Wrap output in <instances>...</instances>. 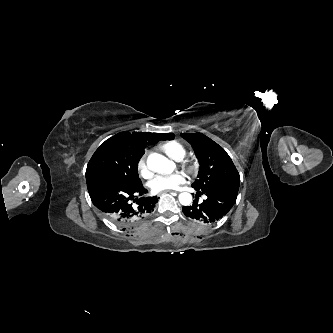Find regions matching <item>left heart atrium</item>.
Listing matches in <instances>:
<instances>
[{"label":"left heart atrium","mask_w":333,"mask_h":333,"mask_svg":"<svg viewBox=\"0 0 333 333\" xmlns=\"http://www.w3.org/2000/svg\"><path fill=\"white\" fill-rule=\"evenodd\" d=\"M184 182L185 176L182 173H172L156 176L151 180L150 187L154 192H164L176 189Z\"/></svg>","instance_id":"39dd6f15"}]
</instances>
